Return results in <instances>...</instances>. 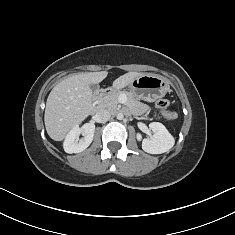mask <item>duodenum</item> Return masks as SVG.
I'll use <instances>...</instances> for the list:
<instances>
[{
  "label": "duodenum",
  "mask_w": 235,
  "mask_h": 235,
  "mask_svg": "<svg viewBox=\"0 0 235 235\" xmlns=\"http://www.w3.org/2000/svg\"><path fill=\"white\" fill-rule=\"evenodd\" d=\"M112 92H113V90L110 89V88H101V89H99V90L96 92L95 98H96V99H99L100 97H102V96H104V95H106V94H110V93H112Z\"/></svg>",
  "instance_id": "duodenum-1"
}]
</instances>
